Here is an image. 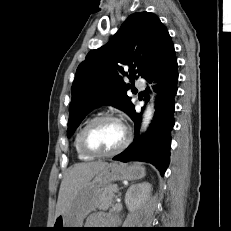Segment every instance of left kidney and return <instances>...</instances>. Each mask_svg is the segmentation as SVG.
Returning a JSON list of instances; mask_svg holds the SVG:
<instances>
[{"label":"left kidney","instance_id":"5707ae66","mask_svg":"<svg viewBox=\"0 0 231 231\" xmlns=\"http://www.w3.org/2000/svg\"><path fill=\"white\" fill-rule=\"evenodd\" d=\"M151 185L148 182L130 186L125 194V204L129 210H135L149 198Z\"/></svg>","mask_w":231,"mask_h":231}]
</instances>
